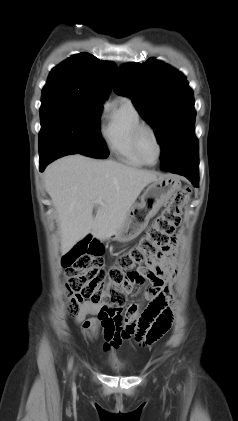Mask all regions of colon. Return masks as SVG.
Returning a JSON list of instances; mask_svg holds the SVG:
<instances>
[{
    "label": "colon",
    "instance_id": "5ec220e1",
    "mask_svg": "<svg viewBox=\"0 0 238 421\" xmlns=\"http://www.w3.org/2000/svg\"><path fill=\"white\" fill-rule=\"evenodd\" d=\"M189 196L190 189L181 188L155 217L138 244L109 268L104 267L102 245L93 241H82L65 254L69 314L77 316L81 304L89 301L101 307L98 319L110 325L114 314L126 303V293L134 288L132 273L159 259L174 243L182 220L181 211ZM159 336L157 332L152 334L153 338Z\"/></svg>",
    "mask_w": 238,
    "mask_h": 421
}]
</instances>
